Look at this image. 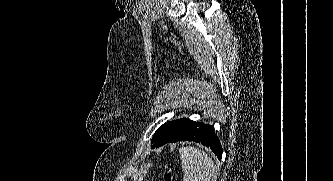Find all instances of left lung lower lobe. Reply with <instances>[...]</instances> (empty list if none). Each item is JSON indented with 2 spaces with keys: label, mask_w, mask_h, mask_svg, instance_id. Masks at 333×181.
I'll use <instances>...</instances> for the list:
<instances>
[{
  "label": "left lung lower lobe",
  "mask_w": 333,
  "mask_h": 181,
  "mask_svg": "<svg viewBox=\"0 0 333 181\" xmlns=\"http://www.w3.org/2000/svg\"><path fill=\"white\" fill-rule=\"evenodd\" d=\"M178 141H194L201 143L204 146L210 147L214 154L221 160L222 147L219 138L215 134L214 127L209 124L192 122L182 133L176 136L169 142L174 143ZM155 147H160L165 143L161 140H154Z\"/></svg>",
  "instance_id": "1"
}]
</instances>
